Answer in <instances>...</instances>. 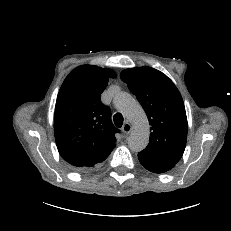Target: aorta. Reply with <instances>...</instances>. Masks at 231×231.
Returning <instances> with one entry per match:
<instances>
[{"label": "aorta", "mask_w": 231, "mask_h": 231, "mask_svg": "<svg viewBox=\"0 0 231 231\" xmlns=\"http://www.w3.org/2000/svg\"><path fill=\"white\" fill-rule=\"evenodd\" d=\"M114 105L132 123L133 130L128 138V146L134 152L144 150L149 143V122L141 105L128 93L121 92L114 98Z\"/></svg>", "instance_id": "aorta-1"}]
</instances>
